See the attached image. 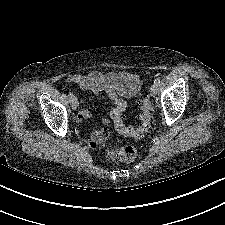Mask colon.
<instances>
[{
  "instance_id": "1",
  "label": "colon",
  "mask_w": 225,
  "mask_h": 225,
  "mask_svg": "<svg viewBox=\"0 0 225 225\" xmlns=\"http://www.w3.org/2000/svg\"><path fill=\"white\" fill-rule=\"evenodd\" d=\"M141 114L139 125L136 127L127 126L123 121L121 112L113 114L114 125L117 132L130 138H141L147 135L152 125V107L147 98H141L138 102ZM109 133L98 131L94 136V145L101 143L105 149L106 157L113 162H131L137 157V148L133 145H126L120 148H113L109 143Z\"/></svg>"
}]
</instances>
